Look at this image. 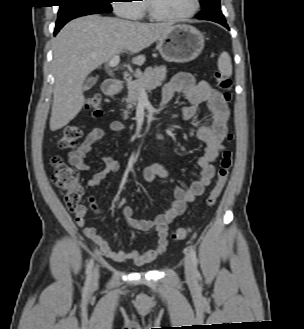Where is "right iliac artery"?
Wrapping results in <instances>:
<instances>
[{
	"instance_id": "obj_1",
	"label": "right iliac artery",
	"mask_w": 304,
	"mask_h": 329,
	"mask_svg": "<svg viewBox=\"0 0 304 329\" xmlns=\"http://www.w3.org/2000/svg\"><path fill=\"white\" fill-rule=\"evenodd\" d=\"M93 265H94V261L93 259H91L87 265V268H86V276H87V279L89 280L90 277H91V274H92V269H93Z\"/></svg>"
}]
</instances>
